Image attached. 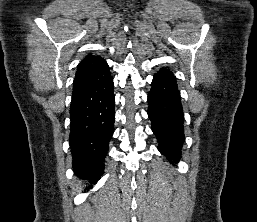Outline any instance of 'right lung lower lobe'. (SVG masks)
<instances>
[{
  "instance_id": "1",
  "label": "right lung lower lobe",
  "mask_w": 257,
  "mask_h": 222,
  "mask_svg": "<svg viewBox=\"0 0 257 222\" xmlns=\"http://www.w3.org/2000/svg\"><path fill=\"white\" fill-rule=\"evenodd\" d=\"M114 93L110 72L98 82L73 92L69 144L73 170L82 179L98 180L114 132Z\"/></svg>"
}]
</instances>
